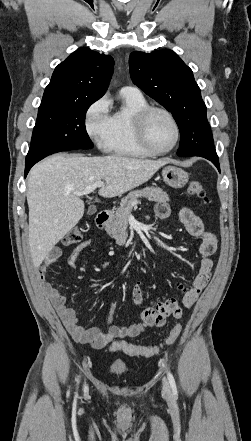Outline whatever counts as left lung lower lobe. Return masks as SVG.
Segmentation results:
<instances>
[{
    "mask_svg": "<svg viewBox=\"0 0 251 441\" xmlns=\"http://www.w3.org/2000/svg\"><path fill=\"white\" fill-rule=\"evenodd\" d=\"M177 155L200 156L210 160L220 171L209 123H198L180 135Z\"/></svg>",
    "mask_w": 251,
    "mask_h": 441,
    "instance_id": "left-lung-lower-lobe-1",
    "label": "left lung lower lobe"
}]
</instances>
